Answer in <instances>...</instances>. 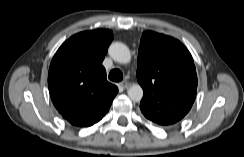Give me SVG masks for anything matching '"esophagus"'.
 Masks as SVG:
<instances>
[{"label":"esophagus","mask_w":244,"mask_h":157,"mask_svg":"<svg viewBox=\"0 0 244 157\" xmlns=\"http://www.w3.org/2000/svg\"><path fill=\"white\" fill-rule=\"evenodd\" d=\"M119 85H120L123 89H126V88H128L129 83H128L126 80H124V81H122Z\"/></svg>","instance_id":"obj_1"}]
</instances>
